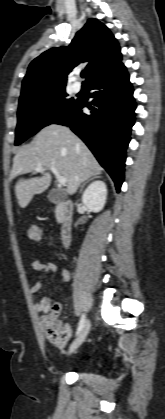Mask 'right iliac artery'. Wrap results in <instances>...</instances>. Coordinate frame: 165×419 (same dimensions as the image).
<instances>
[{"mask_svg":"<svg viewBox=\"0 0 165 419\" xmlns=\"http://www.w3.org/2000/svg\"><path fill=\"white\" fill-rule=\"evenodd\" d=\"M84 323H85V315L83 314L81 316V319H80V322H79V325H78V328H77V331H76V335H78L80 333V331L82 330V328L84 326Z\"/></svg>","mask_w":165,"mask_h":419,"instance_id":"82829eb1","label":"right iliac artery"}]
</instances>
